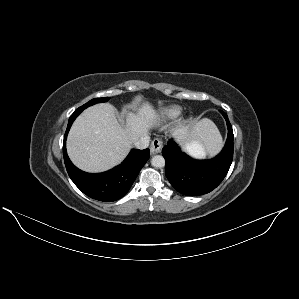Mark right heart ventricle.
<instances>
[{
    "instance_id": "1",
    "label": "right heart ventricle",
    "mask_w": 299,
    "mask_h": 299,
    "mask_svg": "<svg viewBox=\"0 0 299 299\" xmlns=\"http://www.w3.org/2000/svg\"><path fill=\"white\" fill-rule=\"evenodd\" d=\"M181 114V108L178 106L164 107L159 111V115L165 119H174Z\"/></svg>"
}]
</instances>
